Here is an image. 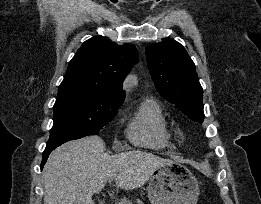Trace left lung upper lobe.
<instances>
[{
	"instance_id": "1",
	"label": "left lung upper lobe",
	"mask_w": 261,
	"mask_h": 204,
	"mask_svg": "<svg viewBox=\"0 0 261 204\" xmlns=\"http://www.w3.org/2000/svg\"><path fill=\"white\" fill-rule=\"evenodd\" d=\"M148 68L157 91L191 120L203 122V89L195 64L175 40L154 43L145 49Z\"/></svg>"
}]
</instances>
